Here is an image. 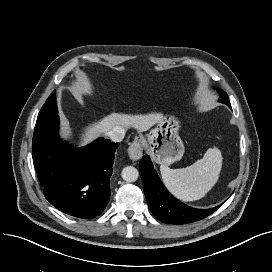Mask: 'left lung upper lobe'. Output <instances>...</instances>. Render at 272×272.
Segmentation results:
<instances>
[{"label": "left lung upper lobe", "instance_id": "1", "mask_svg": "<svg viewBox=\"0 0 272 272\" xmlns=\"http://www.w3.org/2000/svg\"><path fill=\"white\" fill-rule=\"evenodd\" d=\"M220 94H221V96H220L219 101L222 102V103H225L228 106H231L230 101L228 99V95L222 90H220Z\"/></svg>", "mask_w": 272, "mask_h": 272}]
</instances>
